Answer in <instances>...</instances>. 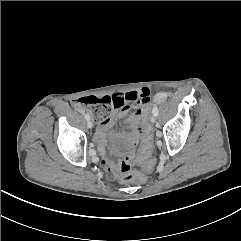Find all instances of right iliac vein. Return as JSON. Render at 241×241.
Instances as JSON below:
<instances>
[{"label":"right iliac vein","instance_id":"63e3f726","mask_svg":"<svg viewBox=\"0 0 241 241\" xmlns=\"http://www.w3.org/2000/svg\"><path fill=\"white\" fill-rule=\"evenodd\" d=\"M87 125H88L89 128H92V127H93L92 121H91V120H88Z\"/></svg>","mask_w":241,"mask_h":241}]
</instances>
